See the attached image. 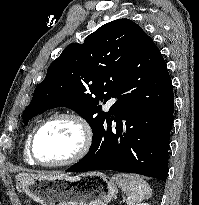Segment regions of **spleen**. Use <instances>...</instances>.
<instances>
[{"label": "spleen", "mask_w": 199, "mask_h": 205, "mask_svg": "<svg viewBox=\"0 0 199 205\" xmlns=\"http://www.w3.org/2000/svg\"><path fill=\"white\" fill-rule=\"evenodd\" d=\"M112 179L128 196V205H135V203L149 198L152 194L149 184L139 176L118 173Z\"/></svg>", "instance_id": "3e777b00"}]
</instances>
